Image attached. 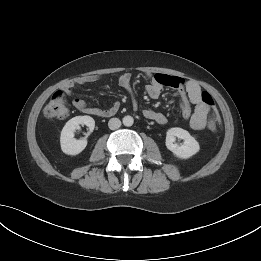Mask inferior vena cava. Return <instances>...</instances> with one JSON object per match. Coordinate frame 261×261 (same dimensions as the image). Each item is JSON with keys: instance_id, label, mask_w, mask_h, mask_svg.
I'll list each match as a JSON object with an SVG mask.
<instances>
[{"instance_id": "inferior-vena-cava-1", "label": "inferior vena cava", "mask_w": 261, "mask_h": 261, "mask_svg": "<svg viewBox=\"0 0 261 261\" xmlns=\"http://www.w3.org/2000/svg\"><path fill=\"white\" fill-rule=\"evenodd\" d=\"M108 126L111 130L118 129L121 126V121L118 118H111L108 122Z\"/></svg>"}]
</instances>
